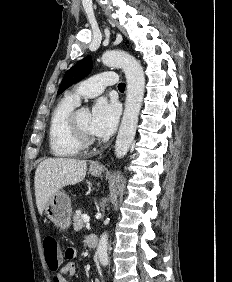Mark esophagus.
Segmentation results:
<instances>
[{
  "label": "esophagus",
  "mask_w": 232,
  "mask_h": 282,
  "mask_svg": "<svg viewBox=\"0 0 232 282\" xmlns=\"http://www.w3.org/2000/svg\"><path fill=\"white\" fill-rule=\"evenodd\" d=\"M91 167L93 168H99L100 167V162L96 161V162H93Z\"/></svg>",
  "instance_id": "obj_1"
}]
</instances>
